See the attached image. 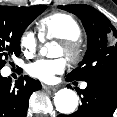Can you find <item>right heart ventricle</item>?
<instances>
[{
  "label": "right heart ventricle",
  "mask_w": 117,
  "mask_h": 117,
  "mask_svg": "<svg viewBox=\"0 0 117 117\" xmlns=\"http://www.w3.org/2000/svg\"><path fill=\"white\" fill-rule=\"evenodd\" d=\"M38 30L42 40L54 38L77 40L81 36V28L77 20L64 12L51 13L41 18L38 22Z\"/></svg>",
  "instance_id": "obj_1"
}]
</instances>
